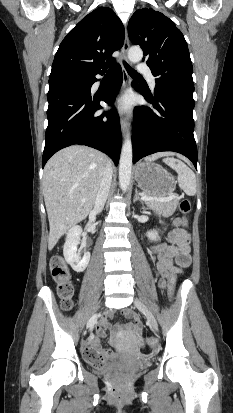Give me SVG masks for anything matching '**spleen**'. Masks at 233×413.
<instances>
[{
  "mask_svg": "<svg viewBox=\"0 0 233 413\" xmlns=\"http://www.w3.org/2000/svg\"><path fill=\"white\" fill-rule=\"evenodd\" d=\"M178 174L179 187L189 196L196 194V177L194 172L181 160L176 158H165L163 160Z\"/></svg>",
  "mask_w": 233,
  "mask_h": 413,
  "instance_id": "1",
  "label": "spleen"
}]
</instances>
